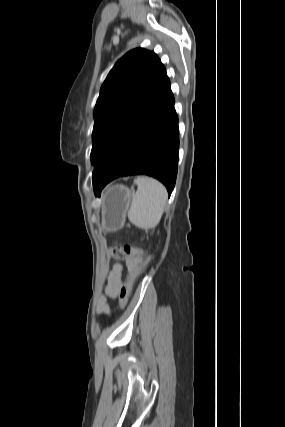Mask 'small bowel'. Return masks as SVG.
I'll list each match as a JSON object with an SVG mask.
<instances>
[{
    "label": "small bowel",
    "mask_w": 285,
    "mask_h": 427,
    "mask_svg": "<svg viewBox=\"0 0 285 427\" xmlns=\"http://www.w3.org/2000/svg\"><path fill=\"white\" fill-rule=\"evenodd\" d=\"M140 260L134 262H127V265L138 263ZM122 285V265L115 264L109 274L107 285L105 287L104 295L99 299L97 311L100 314H109L110 309L107 304V298L115 299L118 295L119 288Z\"/></svg>",
    "instance_id": "1"
}]
</instances>
